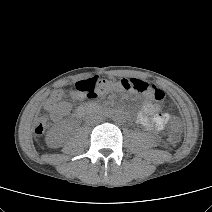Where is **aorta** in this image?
I'll return each mask as SVG.
<instances>
[{"label":"aorta","mask_w":212,"mask_h":212,"mask_svg":"<svg viewBox=\"0 0 212 212\" xmlns=\"http://www.w3.org/2000/svg\"><path fill=\"white\" fill-rule=\"evenodd\" d=\"M122 114L121 113H116V114H114V116H113V120L115 121V122H121L122 121Z\"/></svg>","instance_id":"obj_1"}]
</instances>
